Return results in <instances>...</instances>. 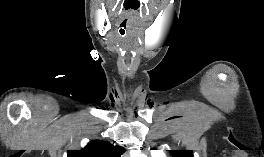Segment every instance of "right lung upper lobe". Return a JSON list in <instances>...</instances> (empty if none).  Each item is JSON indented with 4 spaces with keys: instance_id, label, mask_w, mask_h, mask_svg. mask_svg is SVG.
Segmentation results:
<instances>
[{
    "instance_id": "obj_1",
    "label": "right lung upper lobe",
    "mask_w": 264,
    "mask_h": 157,
    "mask_svg": "<svg viewBox=\"0 0 264 157\" xmlns=\"http://www.w3.org/2000/svg\"><path fill=\"white\" fill-rule=\"evenodd\" d=\"M124 151L109 142L95 140L81 150H69L67 157H120Z\"/></svg>"
}]
</instances>
